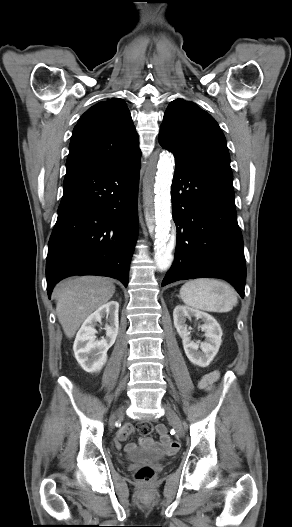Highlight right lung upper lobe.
I'll list each match as a JSON object with an SVG mask.
<instances>
[{"mask_svg":"<svg viewBox=\"0 0 292 527\" xmlns=\"http://www.w3.org/2000/svg\"><path fill=\"white\" fill-rule=\"evenodd\" d=\"M140 154L129 109L122 99L112 98L92 106L79 119L66 168L108 166Z\"/></svg>","mask_w":292,"mask_h":527,"instance_id":"obj_1","label":"right lung upper lobe"}]
</instances>
